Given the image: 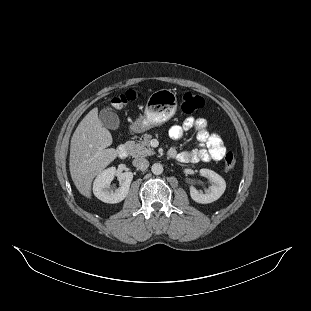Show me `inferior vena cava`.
<instances>
[{"label": "inferior vena cava", "mask_w": 311, "mask_h": 311, "mask_svg": "<svg viewBox=\"0 0 311 311\" xmlns=\"http://www.w3.org/2000/svg\"><path fill=\"white\" fill-rule=\"evenodd\" d=\"M132 164L140 170H146L149 166V161L145 158H136Z\"/></svg>", "instance_id": "1"}]
</instances>
